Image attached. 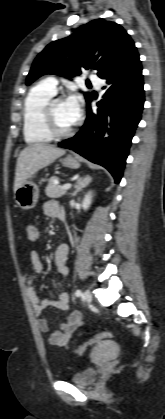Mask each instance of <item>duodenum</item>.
<instances>
[{"instance_id":"obj_1","label":"duodenum","mask_w":165,"mask_h":419,"mask_svg":"<svg viewBox=\"0 0 165 419\" xmlns=\"http://www.w3.org/2000/svg\"><path fill=\"white\" fill-rule=\"evenodd\" d=\"M59 216H60V217H62V212H61V209H60V211H59Z\"/></svg>"}]
</instances>
